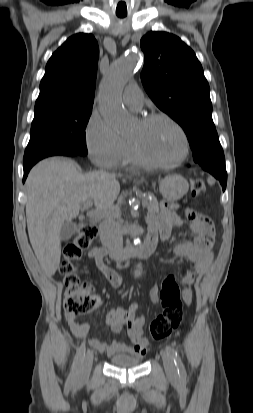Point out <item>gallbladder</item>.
I'll return each mask as SVG.
<instances>
[{"mask_svg": "<svg viewBox=\"0 0 253 413\" xmlns=\"http://www.w3.org/2000/svg\"><path fill=\"white\" fill-rule=\"evenodd\" d=\"M77 230V225L74 222H65L60 230V240L66 241L70 239Z\"/></svg>", "mask_w": 253, "mask_h": 413, "instance_id": "1", "label": "gallbladder"}]
</instances>
